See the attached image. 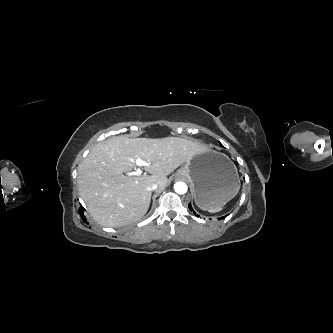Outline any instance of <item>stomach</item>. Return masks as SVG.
<instances>
[{
    "mask_svg": "<svg viewBox=\"0 0 333 333\" xmlns=\"http://www.w3.org/2000/svg\"><path fill=\"white\" fill-rule=\"evenodd\" d=\"M192 187L196 205L205 210L224 206L237 194L238 172L224 153L207 149L195 154L176 173Z\"/></svg>",
    "mask_w": 333,
    "mask_h": 333,
    "instance_id": "0dacf381",
    "label": "stomach"
}]
</instances>
